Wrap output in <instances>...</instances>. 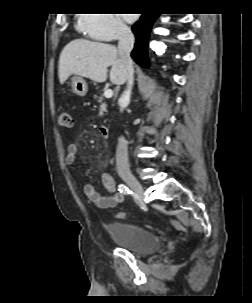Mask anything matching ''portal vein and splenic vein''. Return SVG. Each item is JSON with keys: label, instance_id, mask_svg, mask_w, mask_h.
Listing matches in <instances>:
<instances>
[{"label": "portal vein and splenic vein", "instance_id": "1", "mask_svg": "<svg viewBox=\"0 0 252 303\" xmlns=\"http://www.w3.org/2000/svg\"><path fill=\"white\" fill-rule=\"evenodd\" d=\"M104 96L106 98H111L113 96V91L111 89H107L104 91Z\"/></svg>", "mask_w": 252, "mask_h": 303}]
</instances>
